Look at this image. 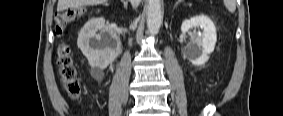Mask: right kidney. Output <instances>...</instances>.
Instances as JSON below:
<instances>
[{
  "mask_svg": "<svg viewBox=\"0 0 283 116\" xmlns=\"http://www.w3.org/2000/svg\"><path fill=\"white\" fill-rule=\"evenodd\" d=\"M77 45L92 68L103 70L121 54L118 35L105 24V19L92 18L80 30Z\"/></svg>",
  "mask_w": 283,
  "mask_h": 116,
  "instance_id": "obj_1",
  "label": "right kidney"
}]
</instances>
